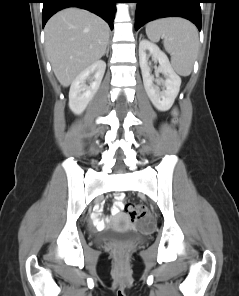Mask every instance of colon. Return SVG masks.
Segmentation results:
<instances>
[{"label":"colon","mask_w":239,"mask_h":296,"mask_svg":"<svg viewBox=\"0 0 239 296\" xmlns=\"http://www.w3.org/2000/svg\"><path fill=\"white\" fill-rule=\"evenodd\" d=\"M124 210L131 219V221H138L147 215V210L143 205L135 204V203H126L124 206ZM117 252L123 253V249L117 248Z\"/></svg>","instance_id":"1"}]
</instances>
